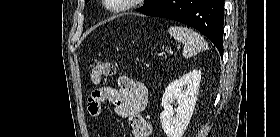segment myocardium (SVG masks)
Wrapping results in <instances>:
<instances>
[{
  "instance_id": "1",
  "label": "myocardium",
  "mask_w": 280,
  "mask_h": 137,
  "mask_svg": "<svg viewBox=\"0 0 280 137\" xmlns=\"http://www.w3.org/2000/svg\"><path fill=\"white\" fill-rule=\"evenodd\" d=\"M105 2H108V0H105ZM119 2H122L123 4L120 7L113 9V11L116 13L124 12L133 8L135 3L138 2V0H119ZM109 6L111 7V5Z\"/></svg>"
}]
</instances>
